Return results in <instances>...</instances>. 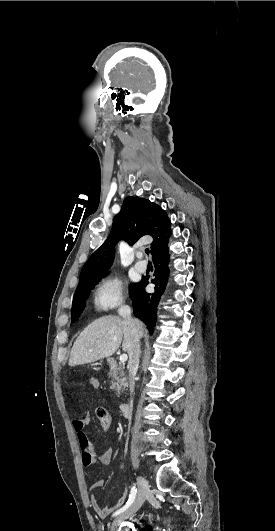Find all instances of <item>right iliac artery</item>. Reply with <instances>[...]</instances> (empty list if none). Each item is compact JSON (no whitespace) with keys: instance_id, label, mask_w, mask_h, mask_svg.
<instances>
[{"instance_id":"1","label":"right iliac artery","mask_w":275,"mask_h":531,"mask_svg":"<svg viewBox=\"0 0 275 531\" xmlns=\"http://www.w3.org/2000/svg\"><path fill=\"white\" fill-rule=\"evenodd\" d=\"M136 495H137V489L135 486H133L131 488V493H130V496H129V499L127 501V503L125 504V506H123L121 509L117 510L113 516H117L119 515L120 513H122L123 511H125L134 501V499L136 498Z\"/></svg>"}]
</instances>
